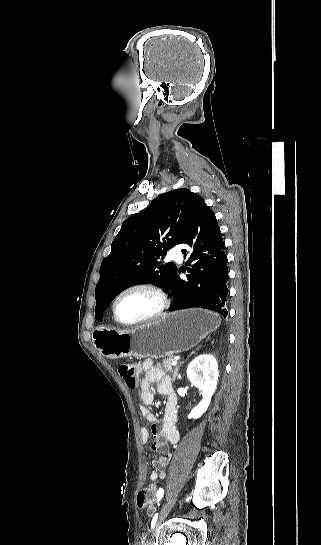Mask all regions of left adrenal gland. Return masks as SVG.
Segmentation results:
<instances>
[{
    "label": "left adrenal gland",
    "mask_w": 321,
    "mask_h": 545,
    "mask_svg": "<svg viewBox=\"0 0 321 545\" xmlns=\"http://www.w3.org/2000/svg\"><path fill=\"white\" fill-rule=\"evenodd\" d=\"M193 353H194V351H192L191 355H193ZM180 365H182V363H180ZM177 375H178V367H177V369H176V371L174 373L173 381H174V379H176Z\"/></svg>",
    "instance_id": "a2214340"
}]
</instances>
